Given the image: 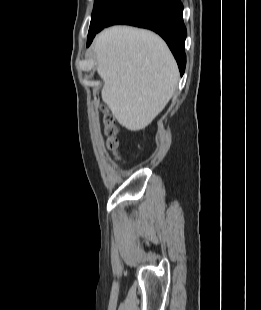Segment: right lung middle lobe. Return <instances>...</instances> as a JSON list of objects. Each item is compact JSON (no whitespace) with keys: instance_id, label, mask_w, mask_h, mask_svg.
<instances>
[{"instance_id":"obj_1","label":"right lung middle lobe","mask_w":261,"mask_h":310,"mask_svg":"<svg viewBox=\"0 0 261 310\" xmlns=\"http://www.w3.org/2000/svg\"><path fill=\"white\" fill-rule=\"evenodd\" d=\"M128 0H95L89 31L100 26L114 11Z\"/></svg>"}]
</instances>
